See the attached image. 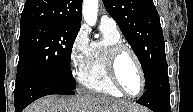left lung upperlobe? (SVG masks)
<instances>
[{"instance_id":"1","label":"left lung upper lobe","mask_w":193,"mask_h":112,"mask_svg":"<svg viewBox=\"0 0 193 112\" xmlns=\"http://www.w3.org/2000/svg\"><path fill=\"white\" fill-rule=\"evenodd\" d=\"M103 3L137 55L147 88L166 64L164 37L153 0H103Z\"/></svg>"}]
</instances>
